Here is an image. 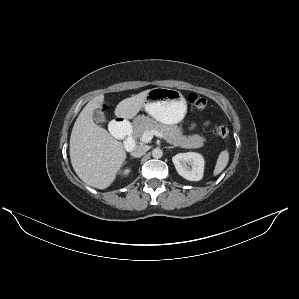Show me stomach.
<instances>
[{
    "mask_svg": "<svg viewBox=\"0 0 299 299\" xmlns=\"http://www.w3.org/2000/svg\"><path fill=\"white\" fill-rule=\"evenodd\" d=\"M144 109L153 119L171 125L184 118L187 103L180 91L157 87L149 90Z\"/></svg>",
    "mask_w": 299,
    "mask_h": 299,
    "instance_id": "0dacf381",
    "label": "stomach"
}]
</instances>
